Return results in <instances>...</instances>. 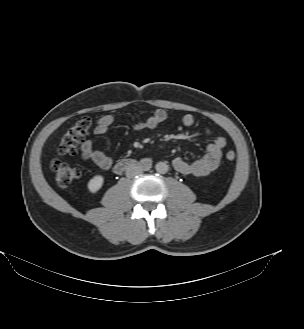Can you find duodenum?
I'll return each instance as SVG.
<instances>
[{"label": "duodenum", "instance_id": "obj_1", "mask_svg": "<svg viewBox=\"0 0 304 329\" xmlns=\"http://www.w3.org/2000/svg\"><path fill=\"white\" fill-rule=\"evenodd\" d=\"M138 166L137 162L132 159H122L116 163L114 171L117 174L123 173L127 170L134 169Z\"/></svg>", "mask_w": 304, "mask_h": 329}]
</instances>
